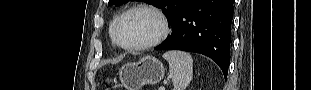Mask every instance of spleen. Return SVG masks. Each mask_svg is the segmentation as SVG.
<instances>
[{"instance_id":"3e777b00","label":"spleen","mask_w":311,"mask_h":90,"mask_svg":"<svg viewBox=\"0 0 311 90\" xmlns=\"http://www.w3.org/2000/svg\"><path fill=\"white\" fill-rule=\"evenodd\" d=\"M163 58L169 63L170 76L174 90H185L193 77L192 56L183 51H168Z\"/></svg>"}]
</instances>
